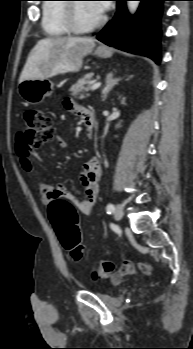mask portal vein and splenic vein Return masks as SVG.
I'll return each instance as SVG.
<instances>
[{"instance_id": "portal-vein-and-splenic-vein-1", "label": "portal vein and splenic vein", "mask_w": 193, "mask_h": 349, "mask_svg": "<svg viewBox=\"0 0 193 349\" xmlns=\"http://www.w3.org/2000/svg\"><path fill=\"white\" fill-rule=\"evenodd\" d=\"M100 86H101V83H100V82L94 83V84L91 86V90H96V89H98Z\"/></svg>"}]
</instances>
